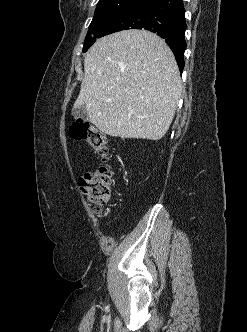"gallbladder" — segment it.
Listing matches in <instances>:
<instances>
[{"label":"gallbladder","instance_id":"obj_1","mask_svg":"<svg viewBox=\"0 0 247 332\" xmlns=\"http://www.w3.org/2000/svg\"><path fill=\"white\" fill-rule=\"evenodd\" d=\"M72 115L74 117H84L86 118L88 116L87 110L85 106L79 107V108H73Z\"/></svg>","mask_w":247,"mask_h":332}]
</instances>
